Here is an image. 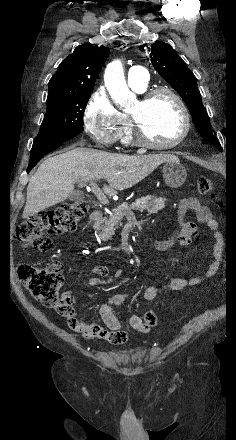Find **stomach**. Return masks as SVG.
<instances>
[{"label":"stomach","instance_id":"1","mask_svg":"<svg viewBox=\"0 0 236 440\" xmlns=\"http://www.w3.org/2000/svg\"><path fill=\"white\" fill-rule=\"evenodd\" d=\"M163 178L167 186L178 188L186 180V169L180 164L178 159L166 161L162 168Z\"/></svg>","mask_w":236,"mask_h":440}]
</instances>
